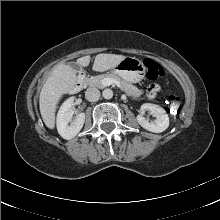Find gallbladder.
Here are the masks:
<instances>
[{
	"label": "gallbladder",
	"instance_id": "1",
	"mask_svg": "<svg viewBox=\"0 0 220 220\" xmlns=\"http://www.w3.org/2000/svg\"><path fill=\"white\" fill-rule=\"evenodd\" d=\"M71 66H72L76 71H79V70H80L79 65H77V64H75V63L71 64Z\"/></svg>",
	"mask_w": 220,
	"mask_h": 220
}]
</instances>
